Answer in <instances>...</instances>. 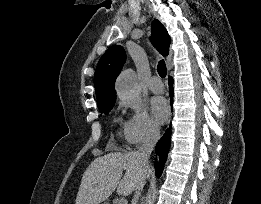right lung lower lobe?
I'll return each mask as SVG.
<instances>
[{
  "label": "right lung lower lobe",
  "instance_id": "obj_1",
  "mask_svg": "<svg viewBox=\"0 0 261 204\" xmlns=\"http://www.w3.org/2000/svg\"><path fill=\"white\" fill-rule=\"evenodd\" d=\"M169 88H170V99H171V105L173 103V79L169 77ZM171 126L166 130L163 137L158 141L156 145V154L160 156V163L155 164V171L156 176L160 177L163 167L165 164V161L167 159V155L170 148V142H171Z\"/></svg>",
  "mask_w": 261,
  "mask_h": 204
}]
</instances>
